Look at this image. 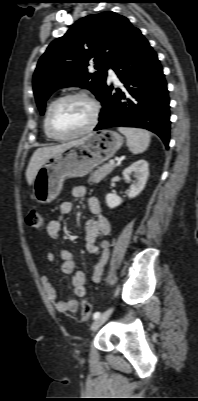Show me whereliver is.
<instances>
[{
  "label": "liver",
  "mask_w": 198,
  "mask_h": 401,
  "mask_svg": "<svg viewBox=\"0 0 198 401\" xmlns=\"http://www.w3.org/2000/svg\"><path fill=\"white\" fill-rule=\"evenodd\" d=\"M76 141H71L68 143H64L61 145H56V146H50V147H42L38 148L32 155L30 162L28 164L27 170H26V179L29 185H32L35 177L43 165V163L49 159L50 157L58 154L61 152L64 148L67 146L76 143Z\"/></svg>",
  "instance_id": "liver-1"
}]
</instances>
